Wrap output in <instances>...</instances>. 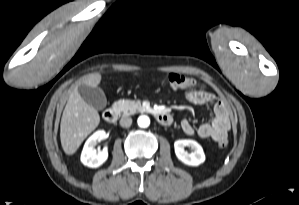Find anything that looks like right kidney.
I'll return each instance as SVG.
<instances>
[{
  "instance_id": "1",
  "label": "right kidney",
  "mask_w": 299,
  "mask_h": 205,
  "mask_svg": "<svg viewBox=\"0 0 299 205\" xmlns=\"http://www.w3.org/2000/svg\"><path fill=\"white\" fill-rule=\"evenodd\" d=\"M107 137L104 130H98L93 133L85 142L82 153L81 162L90 168L101 166L108 158V150L105 147L103 150L97 151L95 146L98 142Z\"/></svg>"
}]
</instances>
